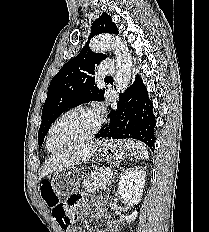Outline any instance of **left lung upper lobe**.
Returning a JSON list of instances; mask_svg holds the SVG:
<instances>
[{
  "instance_id": "5c2ea615",
  "label": "left lung upper lobe",
  "mask_w": 209,
  "mask_h": 232,
  "mask_svg": "<svg viewBox=\"0 0 209 232\" xmlns=\"http://www.w3.org/2000/svg\"><path fill=\"white\" fill-rule=\"evenodd\" d=\"M100 33L118 34V29L107 13L96 19L90 37L80 53L68 61L50 82L47 99L42 110V123L38 133V144L44 138L56 118L66 110L90 101L104 100L105 89L95 84V69L107 56L94 53L89 48L91 37Z\"/></svg>"
}]
</instances>
